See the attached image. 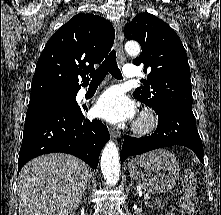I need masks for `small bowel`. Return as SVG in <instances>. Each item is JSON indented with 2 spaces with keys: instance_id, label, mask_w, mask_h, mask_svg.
<instances>
[{
  "instance_id": "c3829d8e",
  "label": "small bowel",
  "mask_w": 221,
  "mask_h": 215,
  "mask_svg": "<svg viewBox=\"0 0 221 215\" xmlns=\"http://www.w3.org/2000/svg\"><path fill=\"white\" fill-rule=\"evenodd\" d=\"M165 215H175V214L172 213V212H168V213H166Z\"/></svg>"
}]
</instances>
